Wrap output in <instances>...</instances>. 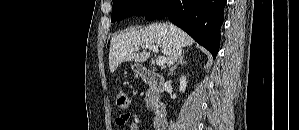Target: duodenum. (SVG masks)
<instances>
[{
  "label": "duodenum",
  "instance_id": "410a0bca",
  "mask_svg": "<svg viewBox=\"0 0 299 130\" xmlns=\"http://www.w3.org/2000/svg\"><path fill=\"white\" fill-rule=\"evenodd\" d=\"M137 72L142 80L153 87V94L157 99L153 124L156 130H164L167 126V106L159 100V96L165 90L164 79L160 74L144 67H139Z\"/></svg>",
  "mask_w": 299,
  "mask_h": 130
}]
</instances>
